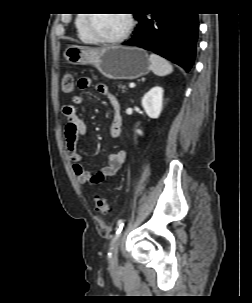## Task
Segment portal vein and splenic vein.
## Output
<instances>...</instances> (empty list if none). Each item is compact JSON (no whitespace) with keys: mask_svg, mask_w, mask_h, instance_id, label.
Listing matches in <instances>:
<instances>
[{"mask_svg":"<svg viewBox=\"0 0 252 303\" xmlns=\"http://www.w3.org/2000/svg\"><path fill=\"white\" fill-rule=\"evenodd\" d=\"M129 87H130V88H134V87H135V84H134V83H130V84H129Z\"/></svg>","mask_w":252,"mask_h":303,"instance_id":"portal-vein-and-splenic-vein-1","label":"portal vein and splenic vein"}]
</instances>
